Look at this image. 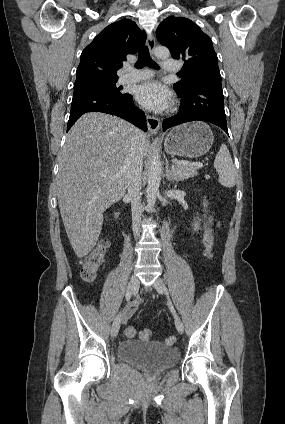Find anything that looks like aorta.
<instances>
[{
    "label": "aorta",
    "instance_id": "762f6f07",
    "mask_svg": "<svg viewBox=\"0 0 285 424\" xmlns=\"http://www.w3.org/2000/svg\"><path fill=\"white\" fill-rule=\"evenodd\" d=\"M155 57L159 59H167L170 56V52L166 47H156L154 49ZM161 161L160 155L157 148L153 149L152 156L148 164V175H147V211L152 212L156 202V197L159 193V186L161 182Z\"/></svg>",
    "mask_w": 285,
    "mask_h": 424
}]
</instances>
